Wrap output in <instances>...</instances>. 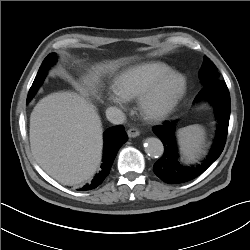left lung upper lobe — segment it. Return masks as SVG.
<instances>
[{
    "label": "left lung upper lobe",
    "instance_id": "5c2ea615",
    "mask_svg": "<svg viewBox=\"0 0 250 250\" xmlns=\"http://www.w3.org/2000/svg\"><path fill=\"white\" fill-rule=\"evenodd\" d=\"M218 69L214 65V63L206 56H204L203 64L201 66V70L199 72V78L202 80L204 85L220 81Z\"/></svg>",
    "mask_w": 250,
    "mask_h": 250
}]
</instances>
